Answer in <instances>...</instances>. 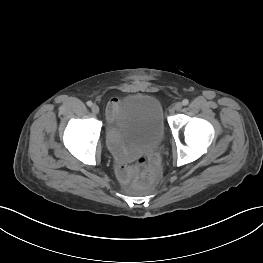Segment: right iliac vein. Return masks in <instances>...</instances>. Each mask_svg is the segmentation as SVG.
I'll return each instance as SVG.
<instances>
[{
  "mask_svg": "<svg viewBox=\"0 0 263 263\" xmlns=\"http://www.w3.org/2000/svg\"><path fill=\"white\" fill-rule=\"evenodd\" d=\"M92 112L94 113V114H98L99 113V107H98V105H96V104H94V105H92Z\"/></svg>",
  "mask_w": 263,
  "mask_h": 263,
  "instance_id": "63e3f726",
  "label": "right iliac vein"
}]
</instances>
